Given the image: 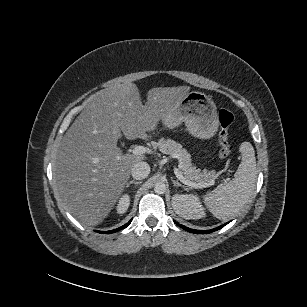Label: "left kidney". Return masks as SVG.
Masks as SVG:
<instances>
[{"mask_svg": "<svg viewBox=\"0 0 307 307\" xmlns=\"http://www.w3.org/2000/svg\"><path fill=\"white\" fill-rule=\"evenodd\" d=\"M172 206L176 214L185 219H205L207 211L201 197L195 193H175Z\"/></svg>", "mask_w": 307, "mask_h": 307, "instance_id": "left-kidney-1", "label": "left kidney"}]
</instances>
